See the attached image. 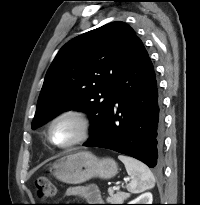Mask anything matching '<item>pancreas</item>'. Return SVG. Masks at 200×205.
I'll return each mask as SVG.
<instances>
[{"mask_svg":"<svg viewBox=\"0 0 200 205\" xmlns=\"http://www.w3.org/2000/svg\"><path fill=\"white\" fill-rule=\"evenodd\" d=\"M109 197L106 199L110 204H122L125 199H127L130 194L126 192H117L114 194L113 189H108Z\"/></svg>","mask_w":200,"mask_h":205,"instance_id":"1","label":"pancreas"}]
</instances>
